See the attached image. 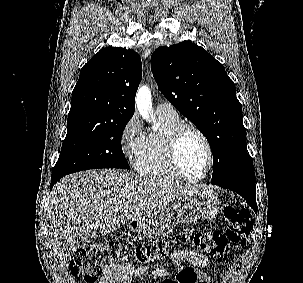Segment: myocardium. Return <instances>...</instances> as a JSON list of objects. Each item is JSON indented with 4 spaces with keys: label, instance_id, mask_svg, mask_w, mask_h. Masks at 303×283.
I'll use <instances>...</instances> for the list:
<instances>
[{
    "label": "myocardium",
    "instance_id": "1",
    "mask_svg": "<svg viewBox=\"0 0 303 283\" xmlns=\"http://www.w3.org/2000/svg\"><path fill=\"white\" fill-rule=\"evenodd\" d=\"M187 130H190L198 135V137L203 142L208 156V164L206 167V170L203 175L197 178H192L187 176L184 171L181 168L180 162H179V155H178V148H179V142L183 135V133ZM166 150H167V157L168 161L170 163L171 168L174 170V172L178 175L179 178L189 181V182H200L204 180L209 173L211 172L213 168L214 163V155H213V149L212 146L207 138V136L204 134V132L198 128L196 125L191 123H184L180 122L177 125H175L167 134L166 136Z\"/></svg>",
    "mask_w": 303,
    "mask_h": 283
}]
</instances>
